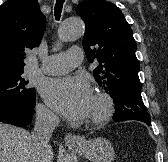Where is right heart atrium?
Segmentation results:
<instances>
[{"instance_id":"1","label":"right heart atrium","mask_w":168,"mask_h":162,"mask_svg":"<svg viewBox=\"0 0 168 162\" xmlns=\"http://www.w3.org/2000/svg\"><path fill=\"white\" fill-rule=\"evenodd\" d=\"M37 115L38 118L46 124H53L56 121V116L43 105L37 106Z\"/></svg>"}]
</instances>
